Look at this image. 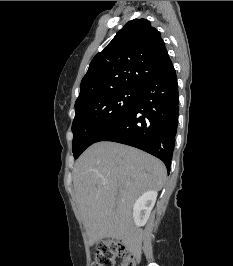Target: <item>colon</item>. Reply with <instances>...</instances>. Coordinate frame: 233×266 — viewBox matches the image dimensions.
Returning a JSON list of instances; mask_svg holds the SVG:
<instances>
[{"instance_id": "1", "label": "colon", "mask_w": 233, "mask_h": 266, "mask_svg": "<svg viewBox=\"0 0 233 266\" xmlns=\"http://www.w3.org/2000/svg\"><path fill=\"white\" fill-rule=\"evenodd\" d=\"M117 258L122 259L119 266H138V255L130 252L118 240L101 242L92 266H115Z\"/></svg>"}]
</instances>
